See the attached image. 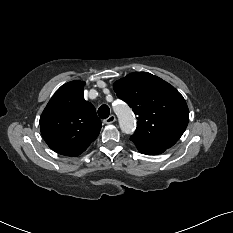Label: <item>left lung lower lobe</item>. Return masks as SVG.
Here are the masks:
<instances>
[{
    "label": "left lung lower lobe",
    "instance_id": "1",
    "mask_svg": "<svg viewBox=\"0 0 233 233\" xmlns=\"http://www.w3.org/2000/svg\"><path fill=\"white\" fill-rule=\"evenodd\" d=\"M139 152L146 155H156L163 153L166 149L161 147H153V146H138L136 145Z\"/></svg>",
    "mask_w": 233,
    "mask_h": 233
}]
</instances>
